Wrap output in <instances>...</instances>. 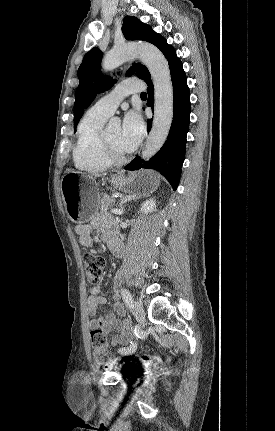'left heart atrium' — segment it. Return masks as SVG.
Segmentation results:
<instances>
[{"instance_id": "obj_1", "label": "left heart atrium", "mask_w": 275, "mask_h": 431, "mask_svg": "<svg viewBox=\"0 0 275 431\" xmlns=\"http://www.w3.org/2000/svg\"><path fill=\"white\" fill-rule=\"evenodd\" d=\"M144 134V123L139 113L128 112L123 120L119 143L126 151H133L139 144Z\"/></svg>"}]
</instances>
